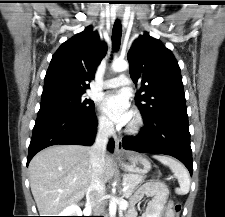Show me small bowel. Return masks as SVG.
<instances>
[{"label":"small bowel","mask_w":225,"mask_h":217,"mask_svg":"<svg viewBox=\"0 0 225 217\" xmlns=\"http://www.w3.org/2000/svg\"><path fill=\"white\" fill-rule=\"evenodd\" d=\"M167 193L166 185L158 180H149L142 186H140L130 199L131 206L138 204L144 197H153L149 204V210L152 212L158 207L164 205V197ZM128 217H136L134 208L129 211ZM165 217H175L173 210L169 207L165 209Z\"/></svg>","instance_id":"obj_1"}]
</instances>
